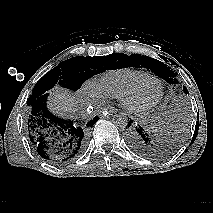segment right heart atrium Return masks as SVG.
Listing matches in <instances>:
<instances>
[{"mask_svg":"<svg viewBox=\"0 0 213 213\" xmlns=\"http://www.w3.org/2000/svg\"><path fill=\"white\" fill-rule=\"evenodd\" d=\"M84 91L85 94L88 96V98L91 99L92 101H100L102 99V96L95 85L91 84L87 85Z\"/></svg>","mask_w":213,"mask_h":213,"instance_id":"d8ad5b80","label":"right heart atrium"}]
</instances>
